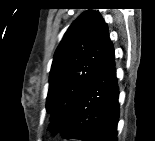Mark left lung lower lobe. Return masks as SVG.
<instances>
[{"instance_id":"1","label":"left lung lower lobe","mask_w":155,"mask_h":141,"mask_svg":"<svg viewBox=\"0 0 155 141\" xmlns=\"http://www.w3.org/2000/svg\"><path fill=\"white\" fill-rule=\"evenodd\" d=\"M119 90L112 42L69 116L62 137L81 141H117Z\"/></svg>"}]
</instances>
